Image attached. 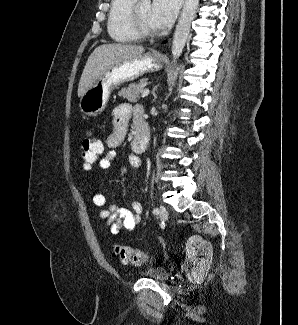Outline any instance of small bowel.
Segmentation results:
<instances>
[{"label":"small bowel","instance_id":"1","mask_svg":"<svg viewBox=\"0 0 298 325\" xmlns=\"http://www.w3.org/2000/svg\"><path fill=\"white\" fill-rule=\"evenodd\" d=\"M130 113V108L126 104H122L114 110L113 131L105 140L107 151L105 156L98 162L100 169H109L115 162L117 148L127 134ZM129 163L133 168H139L141 166V159L137 155H130ZM93 204L100 208L99 216L107 220V226L113 235L118 234L121 230H133L140 222L143 211L142 204L139 201L132 203L131 210L117 204L106 206L105 196L99 191H96L93 196Z\"/></svg>","mask_w":298,"mask_h":325}]
</instances>
